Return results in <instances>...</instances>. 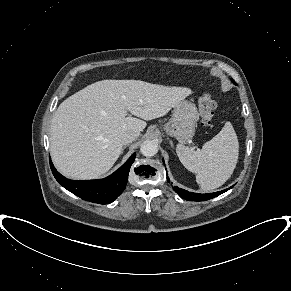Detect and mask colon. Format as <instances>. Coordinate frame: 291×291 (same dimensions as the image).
I'll return each instance as SVG.
<instances>
[{
    "instance_id": "1",
    "label": "colon",
    "mask_w": 291,
    "mask_h": 291,
    "mask_svg": "<svg viewBox=\"0 0 291 291\" xmlns=\"http://www.w3.org/2000/svg\"><path fill=\"white\" fill-rule=\"evenodd\" d=\"M217 103L210 93H203L198 99V110L202 125H209L215 114Z\"/></svg>"
}]
</instances>
